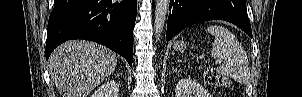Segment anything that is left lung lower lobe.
Listing matches in <instances>:
<instances>
[{
	"label": "left lung lower lobe",
	"mask_w": 302,
	"mask_h": 97,
	"mask_svg": "<svg viewBox=\"0 0 302 97\" xmlns=\"http://www.w3.org/2000/svg\"><path fill=\"white\" fill-rule=\"evenodd\" d=\"M169 11L167 41L188 26L214 19L231 22L252 38L246 0H170Z\"/></svg>",
	"instance_id": "0a47b994"
}]
</instances>
